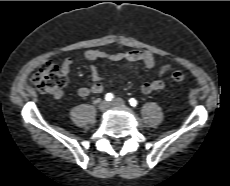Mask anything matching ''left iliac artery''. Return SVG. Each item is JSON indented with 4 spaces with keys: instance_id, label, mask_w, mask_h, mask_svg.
<instances>
[{
    "instance_id": "1",
    "label": "left iliac artery",
    "mask_w": 230,
    "mask_h": 186,
    "mask_svg": "<svg viewBox=\"0 0 230 186\" xmlns=\"http://www.w3.org/2000/svg\"><path fill=\"white\" fill-rule=\"evenodd\" d=\"M129 104L133 107H135L137 105V100H135L134 98H130L129 99Z\"/></svg>"
}]
</instances>
